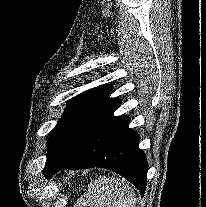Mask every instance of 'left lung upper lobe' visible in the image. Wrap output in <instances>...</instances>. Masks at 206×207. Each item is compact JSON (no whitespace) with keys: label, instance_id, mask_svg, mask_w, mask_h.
I'll return each instance as SVG.
<instances>
[{"label":"left lung upper lobe","instance_id":"left-lung-upper-lobe-1","mask_svg":"<svg viewBox=\"0 0 206 207\" xmlns=\"http://www.w3.org/2000/svg\"><path fill=\"white\" fill-rule=\"evenodd\" d=\"M110 85L89 89L69 100L48 140L46 175L51 167L69 159L82 145L95 123L118 101L107 97Z\"/></svg>","mask_w":206,"mask_h":207}]
</instances>
